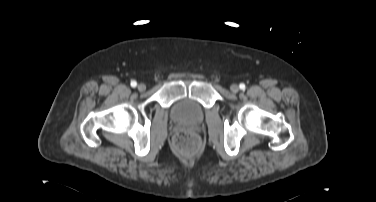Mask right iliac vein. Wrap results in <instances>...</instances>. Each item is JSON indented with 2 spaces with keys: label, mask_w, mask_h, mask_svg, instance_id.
<instances>
[{
  "label": "right iliac vein",
  "mask_w": 376,
  "mask_h": 202,
  "mask_svg": "<svg viewBox=\"0 0 376 202\" xmlns=\"http://www.w3.org/2000/svg\"><path fill=\"white\" fill-rule=\"evenodd\" d=\"M137 88H138V90H139V91H141V92H142V91H145V89H146V85H145V84H143V83H141V84H139V85H138V87H137Z\"/></svg>",
  "instance_id": "right-iliac-vein-1"
}]
</instances>
